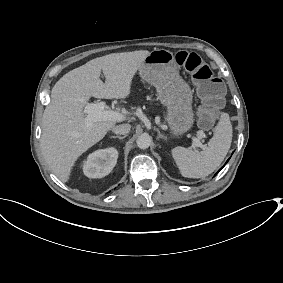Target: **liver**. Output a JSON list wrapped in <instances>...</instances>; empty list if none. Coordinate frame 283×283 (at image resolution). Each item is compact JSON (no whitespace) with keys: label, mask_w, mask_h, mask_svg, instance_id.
Returning <instances> with one entry per match:
<instances>
[{"label":"liver","mask_w":283,"mask_h":283,"mask_svg":"<svg viewBox=\"0 0 283 283\" xmlns=\"http://www.w3.org/2000/svg\"><path fill=\"white\" fill-rule=\"evenodd\" d=\"M149 54L148 50L111 53L69 71L56 82L42 117L41 150L62 182H69L77 160L117 123L102 120L88 127L83 114L85 105L92 97L128 98L133 79ZM102 72L106 84L100 80Z\"/></svg>","instance_id":"liver-1"}]
</instances>
